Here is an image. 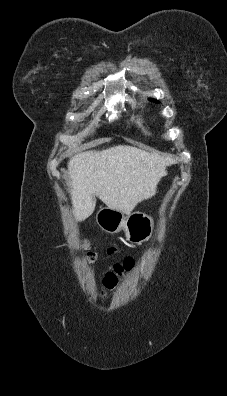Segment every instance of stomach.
Masks as SVG:
<instances>
[{"label": "stomach", "mask_w": 227, "mask_h": 396, "mask_svg": "<svg viewBox=\"0 0 227 396\" xmlns=\"http://www.w3.org/2000/svg\"><path fill=\"white\" fill-rule=\"evenodd\" d=\"M96 222L103 231L110 234L124 230L126 239L135 244L148 241L154 229L152 217L145 213L134 212L125 216L123 212L109 207L100 208Z\"/></svg>", "instance_id": "1"}]
</instances>
